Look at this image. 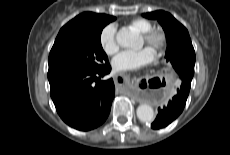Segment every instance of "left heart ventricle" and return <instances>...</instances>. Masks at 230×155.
<instances>
[{
    "label": "left heart ventricle",
    "instance_id": "obj_1",
    "mask_svg": "<svg viewBox=\"0 0 230 155\" xmlns=\"http://www.w3.org/2000/svg\"><path fill=\"white\" fill-rule=\"evenodd\" d=\"M145 43V41L143 40V38H142V44H144Z\"/></svg>",
    "mask_w": 230,
    "mask_h": 155
}]
</instances>
